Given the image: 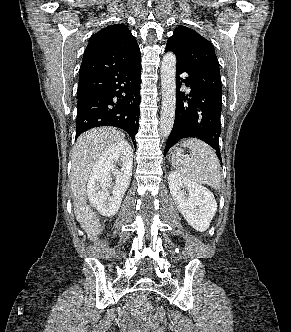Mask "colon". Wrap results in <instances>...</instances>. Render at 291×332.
<instances>
[{
  "mask_svg": "<svg viewBox=\"0 0 291 332\" xmlns=\"http://www.w3.org/2000/svg\"><path fill=\"white\" fill-rule=\"evenodd\" d=\"M141 305L145 311H149L151 309V304L148 301L141 300Z\"/></svg>",
  "mask_w": 291,
  "mask_h": 332,
  "instance_id": "1",
  "label": "colon"
}]
</instances>
